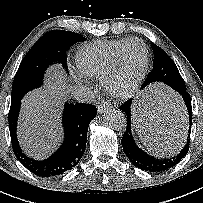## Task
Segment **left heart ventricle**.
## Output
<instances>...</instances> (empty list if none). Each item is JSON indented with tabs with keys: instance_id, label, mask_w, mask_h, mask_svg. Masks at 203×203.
I'll return each mask as SVG.
<instances>
[{
	"instance_id": "obj_1",
	"label": "left heart ventricle",
	"mask_w": 203,
	"mask_h": 203,
	"mask_svg": "<svg viewBox=\"0 0 203 203\" xmlns=\"http://www.w3.org/2000/svg\"><path fill=\"white\" fill-rule=\"evenodd\" d=\"M144 58L145 51L141 44L133 43L127 48L115 82L117 89L123 90L133 82L142 68Z\"/></svg>"
}]
</instances>
